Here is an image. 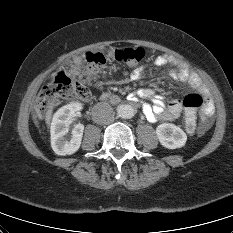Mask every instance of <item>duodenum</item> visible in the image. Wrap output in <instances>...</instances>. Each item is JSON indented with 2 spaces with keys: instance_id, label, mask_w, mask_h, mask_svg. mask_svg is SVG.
<instances>
[{
  "instance_id": "1",
  "label": "duodenum",
  "mask_w": 233,
  "mask_h": 233,
  "mask_svg": "<svg viewBox=\"0 0 233 233\" xmlns=\"http://www.w3.org/2000/svg\"><path fill=\"white\" fill-rule=\"evenodd\" d=\"M101 98H102V100L110 101L113 104H117L120 101L119 98L116 95H113V94H110V93H104L101 96Z\"/></svg>"
}]
</instances>
